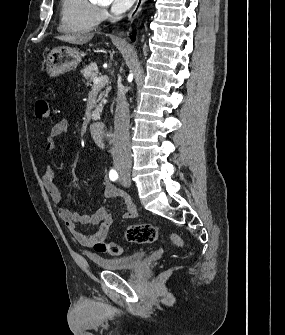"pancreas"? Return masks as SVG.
Masks as SVG:
<instances>
[{"label":"pancreas","instance_id":"cf45deb5","mask_svg":"<svg viewBox=\"0 0 285 335\" xmlns=\"http://www.w3.org/2000/svg\"><path fill=\"white\" fill-rule=\"evenodd\" d=\"M96 72H98L96 64H90V66H85L84 70H81V82L84 90L89 88L88 84H93ZM107 94H109L108 88L103 94H100L98 100H103L104 96H107ZM93 110L94 111L90 114L91 119H93L94 122H100L102 120V106L94 105Z\"/></svg>","mask_w":285,"mask_h":335}]
</instances>
